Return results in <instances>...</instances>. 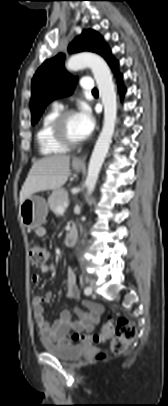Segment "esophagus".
<instances>
[{
  "label": "esophagus",
  "instance_id": "esophagus-1",
  "mask_svg": "<svg viewBox=\"0 0 168 406\" xmlns=\"http://www.w3.org/2000/svg\"><path fill=\"white\" fill-rule=\"evenodd\" d=\"M86 156H87V152L84 153L83 155L79 156V157H76L74 159V162L79 163V164H83Z\"/></svg>",
  "mask_w": 168,
  "mask_h": 406
}]
</instances>
